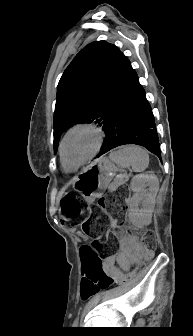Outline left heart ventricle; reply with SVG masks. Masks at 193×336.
<instances>
[{
	"instance_id": "left-heart-ventricle-1",
	"label": "left heart ventricle",
	"mask_w": 193,
	"mask_h": 336,
	"mask_svg": "<svg viewBox=\"0 0 193 336\" xmlns=\"http://www.w3.org/2000/svg\"><path fill=\"white\" fill-rule=\"evenodd\" d=\"M97 143L95 133L80 129L69 135L64 145V155L71 165H76L87 158Z\"/></svg>"
}]
</instances>
